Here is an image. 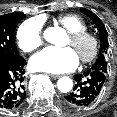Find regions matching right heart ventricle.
Returning <instances> with one entry per match:
<instances>
[{
	"mask_svg": "<svg viewBox=\"0 0 117 117\" xmlns=\"http://www.w3.org/2000/svg\"><path fill=\"white\" fill-rule=\"evenodd\" d=\"M57 21L70 33L85 31L87 29L86 22L76 14L60 15Z\"/></svg>",
	"mask_w": 117,
	"mask_h": 117,
	"instance_id": "obj_1",
	"label": "right heart ventricle"
}]
</instances>
